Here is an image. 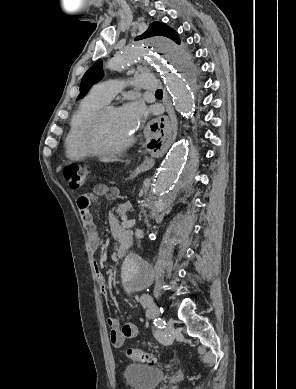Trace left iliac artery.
<instances>
[{
    "instance_id": "obj_1",
    "label": "left iliac artery",
    "mask_w": 296,
    "mask_h": 389,
    "mask_svg": "<svg viewBox=\"0 0 296 389\" xmlns=\"http://www.w3.org/2000/svg\"><path fill=\"white\" fill-rule=\"evenodd\" d=\"M154 325L158 328H165L166 322L163 319H154Z\"/></svg>"
}]
</instances>
